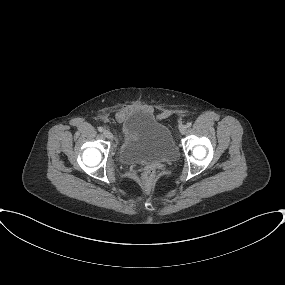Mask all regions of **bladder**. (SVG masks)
Listing matches in <instances>:
<instances>
[{"label": "bladder", "instance_id": "obj_1", "mask_svg": "<svg viewBox=\"0 0 285 285\" xmlns=\"http://www.w3.org/2000/svg\"><path fill=\"white\" fill-rule=\"evenodd\" d=\"M122 132L120 159L124 163L174 162L178 158L171 130L148 111L129 114Z\"/></svg>", "mask_w": 285, "mask_h": 285}]
</instances>
